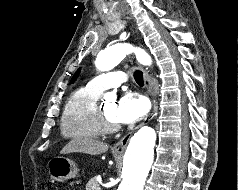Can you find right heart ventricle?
Segmentation results:
<instances>
[{"mask_svg": "<svg viewBox=\"0 0 238 190\" xmlns=\"http://www.w3.org/2000/svg\"><path fill=\"white\" fill-rule=\"evenodd\" d=\"M100 94L88 86L72 93L61 118V132L65 137L95 139L102 135L97 121V101Z\"/></svg>", "mask_w": 238, "mask_h": 190, "instance_id": "right-heart-ventricle-1", "label": "right heart ventricle"}]
</instances>
